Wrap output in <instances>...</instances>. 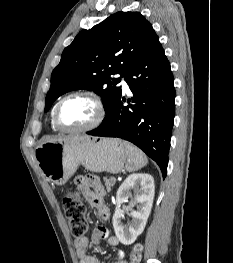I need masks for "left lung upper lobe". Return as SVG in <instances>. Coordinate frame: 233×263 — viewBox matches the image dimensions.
Here are the masks:
<instances>
[{"label":"left lung upper lobe","instance_id":"5c2ea615","mask_svg":"<svg viewBox=\"0 0 233 263\" xmlns=\"http://www.w3.org/2000/svg\"><path fill=\"white\" fill-rule=\"evenodd\" d=\"M157 35L139 12H118L90 30H82L64 49L51 75L45 99V111L62 94L76 90H93L101 96L106 115L119 97L116 86L133 63L145 52Z\"/></svg>","mask_w":233,"mask_h":263}]
</instances>
